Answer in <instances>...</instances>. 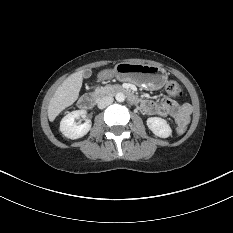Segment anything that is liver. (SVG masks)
<instances>
[{
    "label": "liver",
    "mask_w": 233,
    "mask_h": 233,
    "mask_svg": "<svg viewBox=\"0 0 233 233\" xmlns=\"http://www.w3.org/2000/svg\"><path fill=\"white\" fill-rule=\"evenodd\" d=\"M83 72H75L57 88L48 105V118L52 122L65 108L71 106L78 98L82 87Z\"/></svg>",
    "instance_id": "6515ba94"
}]
</instances>
